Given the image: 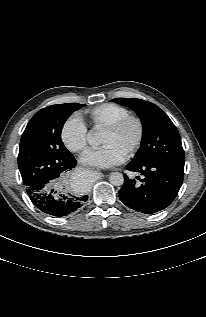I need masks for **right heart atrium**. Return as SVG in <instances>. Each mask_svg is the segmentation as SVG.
<instances>
[{"label": "right heart atrium", "mask_w": 206, "mask_h": 317, "mask_svg": "<svg viewBox=\"0 0 206 317\" xmlns=\"http://www.w3.org/2000/svg\"><path fill=\"white\" fill-rule=\"evenodd\" d=\"M61 139L72 152H82L86 149L89 135L87 126L77 114L70 116L61 128Z\"/></svg>", "instance_id": "d8ad5b80"}]
</instances>
